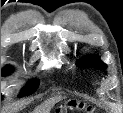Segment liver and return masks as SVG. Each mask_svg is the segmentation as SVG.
I'll list each match as a JSON object with an SVG mask.
<instances>
[{"label":"liver","mask_w":123,"mask_h":113,"mask_svg":"<svg viewBox=\"0 0 123 113\" xmlns=\"http://www.w3.org/2000/svg\"><path fill=\"white\" fill-rule=\"evenodd\" d=\"M55 102H57V100H56V101H53V103H52V104H54Z\"/></svg>","instance_id":"liver-1"}]
</instances>
